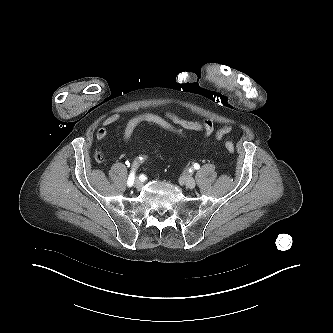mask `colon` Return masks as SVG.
Listing matches in <instances>:
<instances>
[{"label":"colon","mask_w":333,"mask_h":333,"mask_svg":"<svg viewBox=\"0 0 333 333\" xmlns=\"http://www.w3.org/2000/svg\"><path fill=\"white\" fill-rule=\"evenodd\" d=\"M144 124H151V125H156L159 126L165 130H168L170 132H173L181 137H186L185 132L182 130V128L174 125L172 122H170L168 119H166L163 115L157 114V113H151V112H145V113H140L137 114L135 116H133L132 118H130L123 130V138L126 141H129L135 130ZM225 147L227 149V151L231 154L234 153V145L227 141L225 143ZM96 159L99 162H102L104 160V155L102 154V152L98 151L96 154Z\"/></svg>","instance_id":"5ec220e1"}]
</instances>
